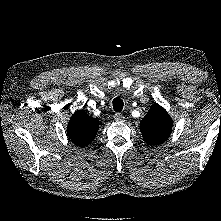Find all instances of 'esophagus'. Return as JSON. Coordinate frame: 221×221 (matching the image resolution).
Listing matches in <instances>:
<instances>
[{
  "label": "esophagus",
  "mask_w": 221,
  "mask_h": 221,
  "mask_svg": "<svg viewBox=\"0 0 221 221\" xmlns=\"http://www.w3.org/2000/svg\"><path fill=\"white\" fill-rule=\"evenodd\" d=\"M114 119L116 120V121H124V119H125V117H124V115L122 114V113H120V112H117V113H115V115H114Z\"/></svg>",
  "instance_id": "obj_1"
}]
</instances>
